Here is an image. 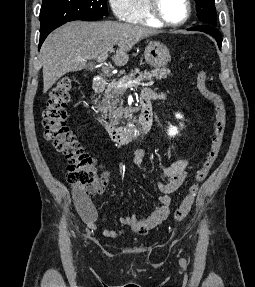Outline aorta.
I'll return each mask as SVG.
<instances>
[{"mask_svg": "<svg viewBox=\"0 0 255 287\" xmlns=\"http://www.w3.org/2000/svg\"><path fill=\"white\" fill-rule=\"evenodd\" d=\"M129 126H130V131H131L132 136L135 137L139 135V131L137 130V127L133 123H131Z\"/></svg>", "mask_w": 255, "mask_h": 287, "instance_id": "1", "label": "aorta"}]
</instances>
